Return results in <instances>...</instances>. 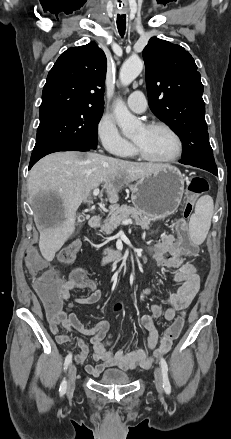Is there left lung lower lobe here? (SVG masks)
Masks as SVG:
<instances>
[{
    "label": "left lung lower lobe",
    "instance_id": "1",
    "mask_svg": "<svg viewBox=\"0 0 231 439\" xmlns=\"http://www.w3.org/2000/svg\"><path fill=\"white\" fill-rule=\"evenodd\" d=\"M186 165H191V166H194V167H198V168L207 170V171L213 173L216 176L218 175L217 168H211V167H208V166H205V165H201V164H197V163L186 164Z\"/></svg>",
    "mask_w": 231,
    "mask_h": 439
}]
</instances>
